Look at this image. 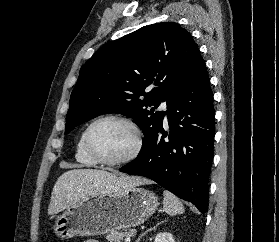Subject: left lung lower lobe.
<instances>
[{"label": "left lung lower lobe", "instance_id": "0a47b994", "mask_svg": "<svg viewBox=\"0 0 279 242\" xmlns=\"http://www.w3.org/2000/svg\"><path fill=\"white\" fill-rule=\"evenodd\" d=\"M167 114L170 132L161 128L149 150L119 171L148 177L205 213L215 111L210 79L200 53Z\"/></svg>", "mask_w": 279, "mask_h": 242}]
</instances>
